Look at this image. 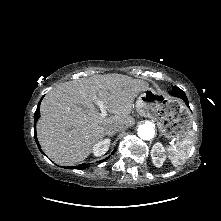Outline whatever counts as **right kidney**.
<instances>
[{"label": "right kidney", "instance_id": "obj_1", "mask_svg": "<svg viewBox=\"0 0 221 221\" xmlns=\"http://www.w3.org/2000/svg\"><path fill=\"white\" fill-rule=\"evenodd\" d=\"M109 146H110V140L109 139L102 140V141H100V142H98L97 144L94 145L93 154L95 156L104 155L108 151Z\"/></svg>", "mask_w": 221, "mask_h": 221}]
</instances>
